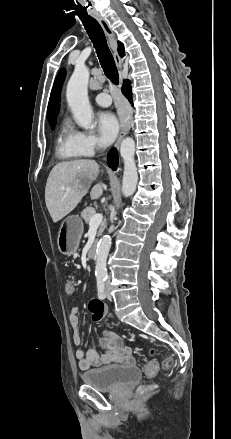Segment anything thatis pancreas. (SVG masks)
<instances>
[{"label":"pancreas","mask_w":231,"mask_h":439,"mask_svg":"<svg viewBox=\"0 0 231 439\" xmlns=\"http://www.w3.org/2000/svg\"><path fill=\"white\" fill-rule=\"evenodd\" d=\"M95 214L96 211L94 208L87 207L81 212L80 216L87 224H89L91 217L94 216ZM105 228H106V222L104 221L99 226L98 235H101L102 232L105 230Z\"/></svg>","instance_id":"1"}]
</instances>
